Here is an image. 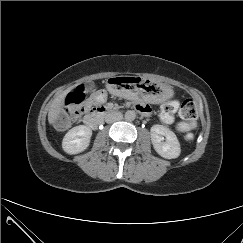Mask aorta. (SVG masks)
<instances>
[{"mask_svg":"<svg viewBox=\"0 0 243 243\" xmlns=\"http://www.w3.org/2000/svg\"><path fill=\"white\" fill-rule=\"evenodd\" d=\"M136 118V113L134 110H128L125 112V120L126 121H134Z\"/></svg>","mask_w":243,"mask_h":243,"instance_id":"762f6f07","label":"aorta"}]
</instances>
